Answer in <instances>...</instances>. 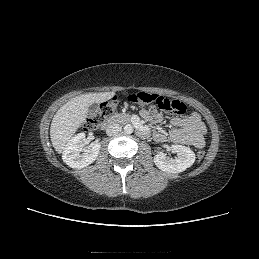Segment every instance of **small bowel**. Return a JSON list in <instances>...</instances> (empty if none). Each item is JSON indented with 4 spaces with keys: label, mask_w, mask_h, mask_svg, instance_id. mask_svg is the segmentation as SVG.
I'll return each instance as SVG.
<instances>
[{
    "label": "small bowel",
    "mask_w": 259,
    "mask_h": 259,
    "mask_svg": "<svg viewBox=\"0 0 259 259\" xmlns=\"http://www.w3.org/2000/svg\"><path fill=\"white\" fill-rule=\"evenodd\" d=\"M140 115L144 120L151 123H159L162 120V115L155 106L141 110ZM171 126L172 130L168 135L163 131H157L154 133V139L160 143L169 140L177 144L191 145L196 148L204 147V135L207 129L198 113L192 112L185 117H174L171 120Z\"/></svg>",
    "instance_id": "c3829d8e"
}]
</instances>
